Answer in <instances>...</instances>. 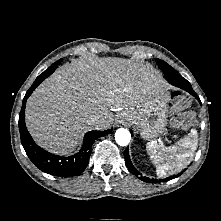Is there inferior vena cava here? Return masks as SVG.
Returning <instances> with one entry per match:
<instances>
[{
    "label": "inferior vena cava",
    "mask_w": 221,
    "mask_h": 221,
    "mask_svg": "<svg viewBox=\"0 0 221 221\" xmlns=\"http://www.w3.org/2000/svg\"><path fill=\"white\" fill-rule=\"evenodd\" d=\"M99 122V118L97 116H91L88 120H87V123L89 125L91 124H97Z\"/></svg>",
    "instance_id": "1"
}]
</instances>
